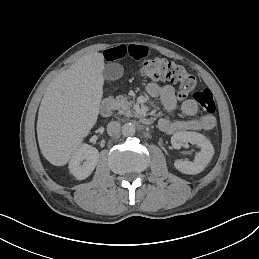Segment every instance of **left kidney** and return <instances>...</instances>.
I'll return each mask as SVG.
<instances>
[{
  "label": "left kidney",
  "instance_id": "obj_1",
  "mask_svg": "<svg viewBox=\"0 0 259 259\" xmlns=\"http://www.w3.org/2000/svg\"><path fill=\"white\" fill-rule=\"evenodd\" d=\"M172 146L180 149L183 144L191 143L200 147L199 154L194 158L193 162L178 160L175 162V168L184 174L197 175L201 173L212 160L214 155V147L211 142L202 134L196 132H178L171 138Z\"/></svg>",
  "mask_w": 259,
  "mask_h": 259
}]
</instances>
